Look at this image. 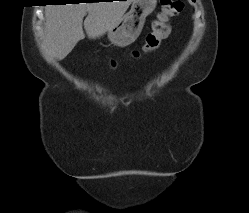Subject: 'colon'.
I'll return each mask as SVG.
<instances>
[{
	"label": "colon",
	"mask_w": 249,
	"mask_h": 213,
	"mask_svg": "<svg viewBox=\"0 0 249 213\" xmlns=\"http://www.w3.org/2000/svg\"><path fill=\"white\" fill-rule=\"evenodd\" d=\"M160 11L152 22L151 31L146 35L142 52L151 53L155 51L160 43L167 38L170 32L172 19L178 16L183 10V3L180 0H160ZM140 51H133V57H139ZM112 67L116 66L114 60L110 61Z\"/></svg>",
	"instance_id": "colon-1"
}]
</instances>
